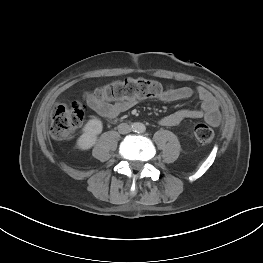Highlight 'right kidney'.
Masks as SVG:
<instances>
[{"instance_id": "obj_1", "label": "right kidney", "mask_w": 263, "mask_h": 263, "mask_svg": "<svg viewBox=\"0 0 263 263\" xmlns=\"http://www.w3.org/2000/svg\"><path fill=\"white\" fill-rule=\"evenodd\" d=\"M102 128V122L99 119L89 120L83 128V134L77 140L78 147L82 150H88L94 146Z\"/></svg>"}]
</instances>
